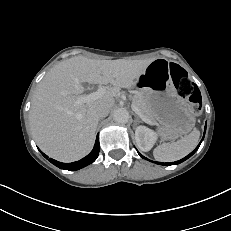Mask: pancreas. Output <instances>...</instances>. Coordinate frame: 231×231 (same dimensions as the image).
<instances>
[{
  "label": "pancreas",
  "mask_w": 231,
  "mask_h": 231,
  "mask_svg": "<svg viewBox=\"0 0 231 231\" xmlns=\"http://www.w3.org/2000/svg\"><path fill=\"white\" fill-rule=\"evenodd\" d=\"M133 103L137 106V108L140 110V112L151 122H154V116L152 114L151 108L147 101L141 97L139 93H136L133 96Z\"/></svg>",
  "instance_id": "cf45deb5"
}]
</instances>
